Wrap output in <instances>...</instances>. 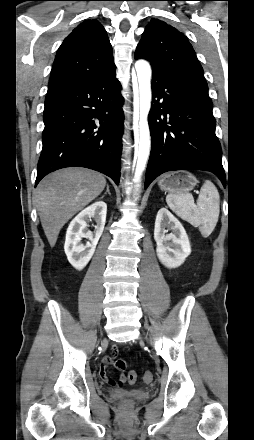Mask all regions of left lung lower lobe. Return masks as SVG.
<instances>
[{
    "label": "left lung lower lobe",
    "instance_id": "0a47b994",
    "mask_svg": "<svg viewBox=\"0 0 254 440\" xmlns=\"http://www.w3.org/2000/svg\"><path fill=\"white\" fill-rule=\"evenodd\" d=\"M152 96L148 117L152 145L145 188L160 174L181 169L213 172L225 185L209 95L152 66Z\"/></svg>",
    "mask_w": 254,
    "mask_h": 440
}]
</instances>
